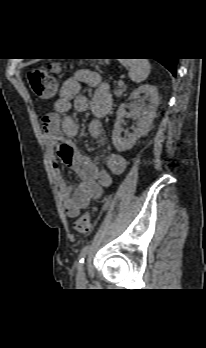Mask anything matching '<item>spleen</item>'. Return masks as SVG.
Here are the masks:
<instances>
[{"label": "spleen", "mask_w": 206, "mask_h": 348, "mask_svg": "<svg viewBox=\"0 0 206 348\" xmlns=\"http://www.w3.org/2000/svg\"><path fill=\"white\" fill-rule=\"evenodd\" d=\"M120 63L129 69V77L133 82L141 83L150 74V63L147 59H121Z\"/></svg>", "instance_id": "spleen-1"}]
</instances>
